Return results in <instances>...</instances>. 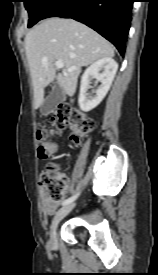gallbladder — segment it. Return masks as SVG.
Returning a JSON list of instances; mask_svg holds the SVG:
<instances>
[{"instance_id":"bac80fb5","label":"gallbladder","mask_w":158,"mask_h":275,"mask_svg":"<svg viewBox=\"0 0 158 275\" xmlns=\"http://www.w3.org/2000/svg\"><path fill=\"white\" fill-rule=\"evenodd\" d=\"M65 99L64 93L57 83V81H53L52 83V91L50 94L45 98L42 107H41V114L47 116L48 114L54 112L58 105L61 104Z\"/></svg>"}]
</instances>
